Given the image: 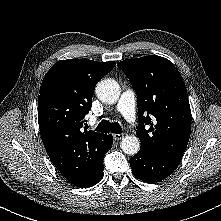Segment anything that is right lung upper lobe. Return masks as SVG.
<instances>
[{"label":"right lung upper lobe","instance_id":"right-lung-upper-lobe-1","mask_svg":"<svg viewBox=\"0 0 221 221\" xmlns=\"http://www.w3.org/2000/svg\"><path fill=\"white\" fill-rule=\"evenodd\" d=\"M114 61L60 60L45 75L38 100L42 142L52 163L71 184L87 180L99 166L108 135L82 129L99 80Z\"/></svg>","mask_w":221,"mask_h":221}]
</instances>
